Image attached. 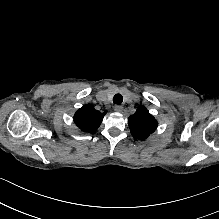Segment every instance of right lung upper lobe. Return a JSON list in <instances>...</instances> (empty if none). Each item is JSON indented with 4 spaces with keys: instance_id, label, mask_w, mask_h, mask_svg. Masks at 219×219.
I'll return each mask as SVG.
<instances>
[{
    "instance_id": "cb5924a9",
    "label": "right lung upper lobe",
    "mask_w": 219,
    "mask_h": 219,
    "mask_svg": "<svg viewBox=\"0 0 219 219\" xmlns=\"http://www.w3.org/2000/svg\"><path fill=\"white\" fill-rule=\"evenodd\" d=\"M104 113L95 110L91 105H84L74 115V122L83 132H94L100 126Z\"/></svg>"
}]
</instances>
